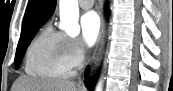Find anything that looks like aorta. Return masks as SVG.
Segmentation results:
<instances>
[{
  "mask_svg": "<svg viewBox=\"0 0 173 91\" xmlns=\"http://www.w3.org/2000/svg\"><path fill=\"white\" fill-rule=\"evenodd\" d=\"M60 9V27L64 29L69 36H77L80 31L78 24L79 7L78 0H59ZM96 91H102V83H98Z\"/></svg>",
  "mask_w": 173,
  "mask_h": 91,
  "instance_id": "aorta-1",
  "label": "aorta"
}]
</instances>
